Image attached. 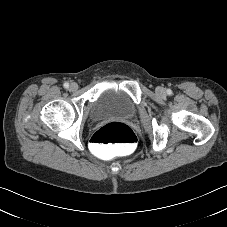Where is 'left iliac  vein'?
<instances>
[{"instance_id": "obj_1", "label": "left iliac vein", "mask_w": 227, "mask_h": 227, "mask_svg": "<svg viewBox=\"0 0 227 227\" xmlns=\"http://www.w3.org/2000/svg\"><path fill=\"white\" fill-rule=\"evenodd\" d=\"M157 93L161 96H164L166 94V90L163 87H159L157 89Z\"/></svg>"}]
</instances>
